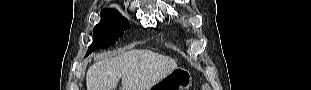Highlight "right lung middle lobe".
<instances>
[{
    "instance_id": "dd1d6c3e",
    "label": "right lung middle lobe",
    "mask_w": 311,
    "mask_h": 90,
    "mask_svg": "<svg viewBox=\"0 0 311 90\" xmlns=\"http://www.w3.org/2000/svg\"><path fill=\"white\" fill-rule=\"evenodd\" d=\"M130 27L128 20L118 11L111 8L103 9L101 21L94 27L93 43L89 46L87 55L98 48L107 49L109 45H114Z\"/></svg>"
}]
</instances>
